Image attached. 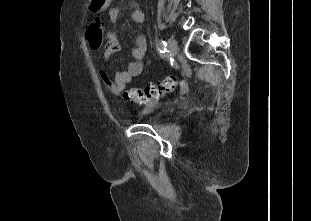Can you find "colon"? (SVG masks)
Masks as SVG:
<instances>
[{
  "label": "colon",
  "mask_w": 311,
  "mask_h": 221,
  "mask_svg": "<svg viewBox=\"0 0 311 221\" xmlns=\"http://www.w3.org/2000/svg\"><path fill=\"white\" fill-rule=\"evenodd\" d=\"M87 36L90 47L94 50H98L104 36V24L99 17H96L89 22ZM178 83L179 79L177 77L168 76L155 84L127 89L123 92L122 96L128 101L153 105L166 95L173 93L176 90Z\"/></svg>",
  "instance_id": "1"
}]
</instances>
